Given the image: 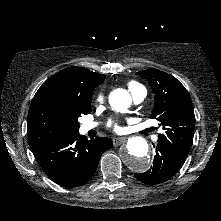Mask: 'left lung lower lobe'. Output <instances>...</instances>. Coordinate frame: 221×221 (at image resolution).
Returning a JSON list of instances; mask_svg holds the SVG:
<instances>
[{"mask_svg": "<svg viewBox=\"0 0 221 221\" xmlns=\"http://www.w3.org/2000/svg\"><path fill=\"white\" fill-rule=\"evenodd\" d=\"M153 165L135 177L146 184H158L171 178L183 165L165 147L157 145Z\"/></svg>", "mask_w": 221, "mask_h": 221, "instance_id": "left-lung-lower-lobe-1", "label": "left lung lower lobe"}]
</instances>
